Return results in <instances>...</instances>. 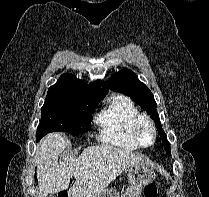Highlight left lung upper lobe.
Masks as SVG:
<instances>
[{
  "label": "left lung upper lobe",
  "instance_id": "5c2ea615",
  "mask_svg": "<svg viewBox=\"0 0 209 197\" xmlns=\"http://www.w3.org/2000/svg\"><path fill=\"white\" fill-rule=\"evenodd\" d=\"M107 87L110 90L131 97L142 109L146 110L148 114L151 115L155 121V126L158 129L160 137L164 141V149L170 154V143L166 138L165 132L162 130L154 96L148 87L138 80L136 74L131 70L123 69L111 76L107 82Z\"/></svg>",
  "mask_w": 209,
  "mask_h": 197
}]
</instances>
